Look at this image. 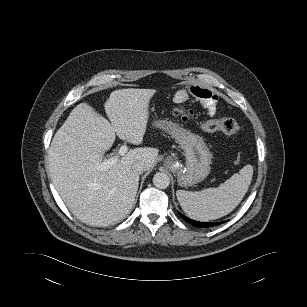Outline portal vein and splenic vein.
I'll list each match as a JSON object with an SVG mask.
<instances>
[{"mask_svg":"<svg viewBox=\"0 0 307 307\" xmlns=\"http://www.w3.org/2000/svg\"><path fill=\"white\" fill-rule=\"evenodd\" d=\"M128 151V146L127 145H122L119 149V154L121 156H123L126 152ZM117 162V158L116 157H111L109 159L104 160L102 163H100L97 167L98 170L101 171H106L108 170L110 167H112L113 165H115Z\"/></svg>","mask_w":307,"mask_h":307,"instance_id":"18ae733b","label":"portal vein and splenic vein"}]
</instances>
